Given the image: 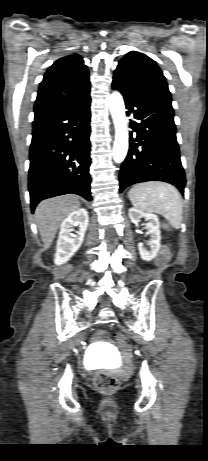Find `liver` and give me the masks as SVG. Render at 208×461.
<instances>
[{
	"instance_id": "6515ba94",
	"label": "liver",
	"mask_w": 208,
	"mask_h": 461,
	"mask_svg": "<svg viewBox=\"0 0 208 461\" xmlns=\"http://www.w3.org/2000/svg\"><path fill=\"white\" fill-rule=\"evenodd\" d=\"M79 207L80 202L74 195L59 196L39 203L35 217L45 248L51 246L64 218Z\"/></svg>"
}]
</instances>
